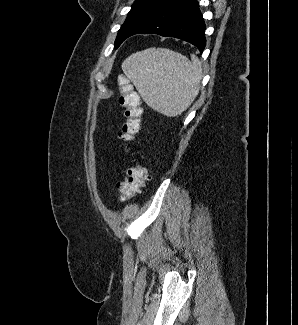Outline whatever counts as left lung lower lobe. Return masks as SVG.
<instances>
[{
  "mask_svg": "<svg viewBox=\"0 0 298 325\" xmlns=\"http://www.w3.org/2000/svg\"><path fill=\"white\" fill-rule=\"evenodd\" d=\"M205 24L197 0H161L136 26L135 34H158L175 37L195 45L203 52Z\"/></svg>",
  "mask_w": 298,
  "mask_h": 325,
  "instance_id": "1",
  "label": "left lung lower lobe"
}]
</instances>
